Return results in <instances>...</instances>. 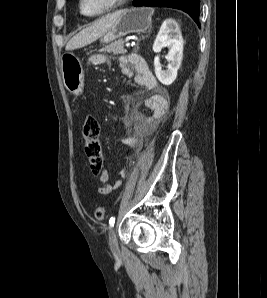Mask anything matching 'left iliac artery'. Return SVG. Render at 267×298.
Here are the masks:
<instances>
[{
	"mask_svg": "<svg viewBox=\"0 0 267 298\" xmlns=\"http://www.w3.org/2000/svg\"><path fill=\"white\" fill-rule=\"evenodd\" d=\"M115 223V217H111L109 220V227L112 228L114 226Z\"/></svg>",
	"mask_w": 267,
	"mask_h": 298,
	"instance_id": "1",
	"label": "left iliac artery"
}]
</instances>
